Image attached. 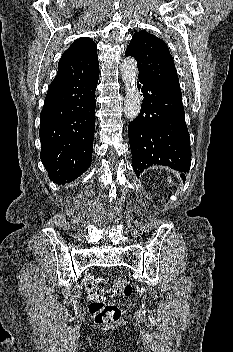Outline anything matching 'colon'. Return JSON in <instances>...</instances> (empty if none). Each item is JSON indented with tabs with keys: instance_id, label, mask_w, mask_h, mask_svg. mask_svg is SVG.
I'll use <instances>...</instances> for the list:
<instances>
[{
	"instance_id": "1",
	"label": "colon",
	"mask_w": 233,
	"mask_h": 352,
	"mask_svg": "<svg viewBox=\"0 0 233 352\" xmlns=\"http://www.w3.org/2000/svg\"><path fill=\"white\" fill-rule=\"evenodd\" d=\"M99 278H90L86 283V292L90 300L89 311L95 322L111 324L121 317V309L107 301L108 295L128 297L132 294L131 284L124 278H116L111 290L99 286Z\"/></svg>"
}]
</instances>
